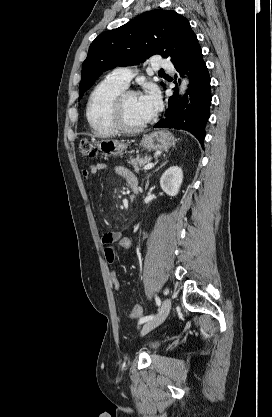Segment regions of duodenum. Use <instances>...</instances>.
Masks as SVG:
<instances>
[{"label": "duodenum", "instance_id": "duodenum-1", "mask_svg": "<svg viewBox=\"0 0 272 417\" xmlns=\"http://www.w3.org/2000/svg\"><path fill=\"white\" fill-rule=\"evenodd\" d=\"M130 188H131V191H132L133 195L136 196L138 194V191H139V183L138 182H132L130 184Z\"/></svg>", "mask_w": 272, "mask_h": 417}]
</instances>
